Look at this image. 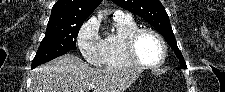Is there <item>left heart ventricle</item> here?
<instances>
[{"label":"left heart ventricle","instance_id":"b2bd125f","mask_svg":"<svg viewBox=\"0 0 225 92\" xmlns=\"http://www.w3.org/2000/svg\"><path fill=\"white\" fill-rule=\"evenodd\" d=\"M140 59L147 64H156L162 57V47L159 41L151 34H143L137 43Z\"/></svg>","mask_w":225,"mask_h":92}]
</instances>
